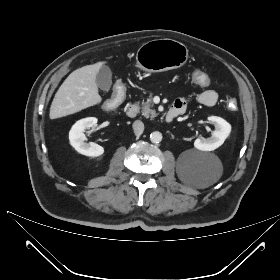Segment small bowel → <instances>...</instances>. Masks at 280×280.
<instances>
[{
    "label": "small bowel",
    "instance_id": "1",
    "mask_svg": "<svg viewBox=\"0 0 280 280\" xmlns=\"http://www.w3.org/2000/svg\"><path fill=\"white\" fill-rule=\"evenodd\" d=\"M197 100L199 103L205 106H214L218 101V95L215 91L207 89L205 91H201L197 95ZM171 107H176L182 110V113L185 111L186 103L183 99H177L173 102Z\"/></svg>",
    "mask_w": 280,
    "mask_h": 280
}]
</instances>
